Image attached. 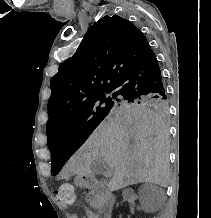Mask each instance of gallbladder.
<instances>
[{
	"instance_id": "bac80fb5",
	"label": "gallbladder",
	"mask_w": 211,
	"mask_h": 218,
	"mask_svg": "<svg viewBox=\"0 0 211 218\" xmlns=\"http://www.w3.org/2000/svg\"><path fill=\"white\" fill-rule=\"evenodd\" d=\"M91 175H104L105 166H101L99 160H94L90 166Z\"/></svg>"
}]
</instances>
